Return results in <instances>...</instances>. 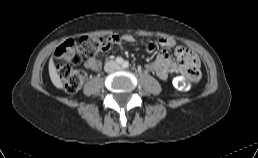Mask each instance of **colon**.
Wrapping results in <instances>:
<instances>
[{"label":"colon","mask_w":258,"mask_h":158,"mask_svg":"<svg viewBox=\"0 0 258 158\" xmlns=\"http://www.w3.org/2000/svg\"><path fill=\"white\" fill-rule=\"evenodd\" d=\"M119 40L117 36H83L78 40H65L55 52L59 60L56 72L65 90L69 93H75L82 88L85 82V73L75 68L82 61V52L86 57L93 58L100 52L111 50ZM176 86L181 91H188L190 88L186 78H179L176 81Z\"/></svg>","instance_id":"colon-1"}]
</instances>
